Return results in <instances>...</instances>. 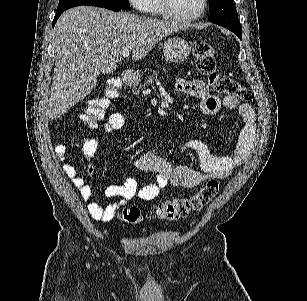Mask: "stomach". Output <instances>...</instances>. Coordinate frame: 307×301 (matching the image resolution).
I'll return each mask as SVG.
<instances>
[{
  "instance_id": "0dacf381",
  "label": "stomach",
  "mask_w": 307,
  "mask_h": 301,
  "mask_svg": "<svg viewBox=\"0 0 307 301\" xmlns=\"http://www.w3.org/2000/svg\"><path fill=\"white\" fill-rule=\"evenodd\" d=\"M191 46L188 40L185 38H181V36H172V38H167L165 42H163V52L165 56V60L167 62H183L186 60L190 54ZM142 74H137V78L135 74L131 76V82L135 84V82H139Z\"/></svg>"
}]
</instances>
